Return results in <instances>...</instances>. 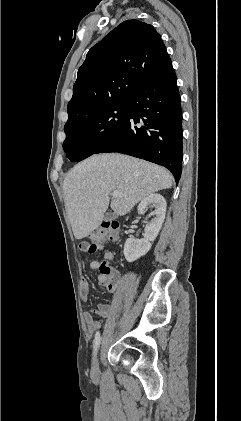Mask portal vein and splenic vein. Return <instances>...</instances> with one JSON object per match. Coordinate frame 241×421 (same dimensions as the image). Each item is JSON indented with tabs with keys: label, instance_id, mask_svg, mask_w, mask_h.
Listing matches in <instances>:
<instances>
[{
	"label": "portal vein and splenic vein",
	"instance_id": "1",
	"mask_svg": "<svg viewBox=\"0 0 241 421\" xmlns=\"http://www.w3.org/2000/svg\"><path fill=\"white\" fill-rule=\"evenodd\" d=\"M111 195L113 196V198H117V197L121 196L122 194L118 191H114V192H112Z\"/></svg>",
	"mask_w": 241,
	"mask_h": 421
}]
</instances>
